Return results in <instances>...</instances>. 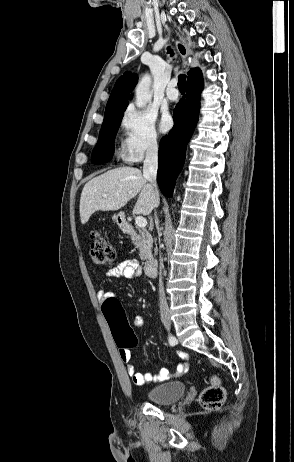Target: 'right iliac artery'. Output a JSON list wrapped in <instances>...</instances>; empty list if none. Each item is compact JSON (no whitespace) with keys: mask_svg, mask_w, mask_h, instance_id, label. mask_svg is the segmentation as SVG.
Segmentation results:
<instances>
[{"mask_svg":"<svg viewBox=\"0 0 294 462\" xmlns=\"http://www.w3.org/2000/svg\"><path fill=\"white\" fill-rule=\"evenodd\" d=\"M169 343L171 346H174L177 343V340L173 336H169Z\"/></svg>","mask_w":294,"mask_h":462,"instance_id":"82829eb1","label":"right iliac artery"}]
</instances>
